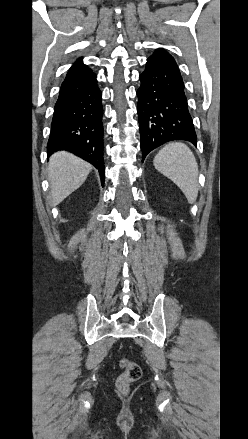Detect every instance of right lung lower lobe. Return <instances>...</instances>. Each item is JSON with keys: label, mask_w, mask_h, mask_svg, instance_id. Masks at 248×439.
<instances>
[{"label": "right lung lower lobe", "mask_w": 248, "mask_h": 439, "mask_svg": "<svg viewBox=\"0 0 248 439\" xmlns=\"http://www.w3.org/2000/svg\"><path fill=\"white\" fill-rule=\"evenodd\" d=\"M102 93L96 75L83 66L66 75L55 104L48 155L67 150L93 164L104 184Z\"/></svg>", "instance_id": "right-lung-lower-lobe-1"}]
</instances>
